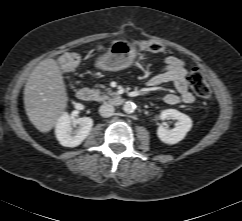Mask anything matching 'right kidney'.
<instances>
[{"label":"right kidney","instance_id":"ca27d5eb","mask_svg":"<svg viewBox=\"0 0 242 221\" xmlns=\"http://www.w3.org/2000/svg\"><path fill=\"white\" fill-rule=\"evenodd\" d=\"M76 126L78 127L73 129ZM92 126L93 120L91 118L82 117L71 120L69 115L64 112L57 121L55 134L62 146L76 147L86 139Z\"/></svg>","mask_w":242,"mask_h":221}]
</instances>
